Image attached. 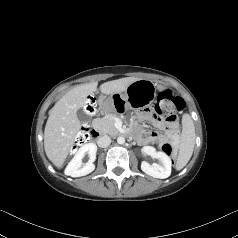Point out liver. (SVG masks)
I'll return each mask as SVG.
<instances>
[{
	"label": "liver",
	"instance_id": "liver-1",
	"mask_svg": "<svg viewBox=\"0 0 238 238\" xmlns=\"http://www.w3.org/2000/svg\"><path fill=\"white\" fill-rule=\"evenodd\" d=\"M135 77L120 78L100 85L103 94L113 95L124 92ZM98 82L79 85L67 92L49 111L44 130V149L48 159L61 167L74 145L81 129L77 111L87 104V97L97 90Z\"/></svg>",
	"mask_w": 238,
	"mask_h": 238
}]
</instances>
